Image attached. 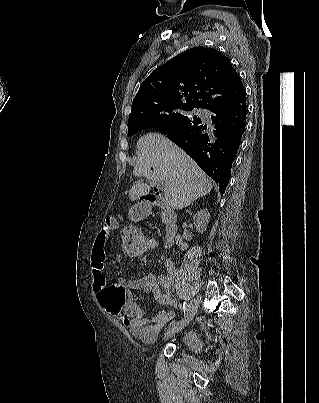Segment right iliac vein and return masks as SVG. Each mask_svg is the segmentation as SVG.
I'll list each match as a JSON object with an SVG mask.
<instances>
[{
    "label": "right iliac vein",
    "instance_id": "obj_1",
    "mask_svg": "<svg viewBox=\"0 0 319 403\" xmlns=\"http://www.w3.org/2000/svg\"><path fill=\"white\" fill-rule=\"evenodd\" d=\"M198 310V302L197 300H192L189 308H188V312L185 314L184 318L182 319V321L180 322L179 326H177L175 328V332L184 329L186 326L189 325V323L192 321V319L194 318L196 312ZM169 336V335H167Z\"/></svg>",
    "mask_w": 319,
    "mask_h": 403
}]
</instances>
